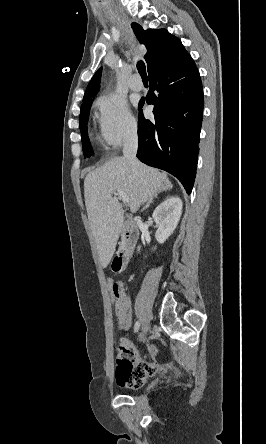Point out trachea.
<instances>
[{"label": "trachea", "instance_id": "obj_1", "mask_svg": "<svg viewBox=\"0 0 266 444\" xmlns=\"http://www.w3.org/2000/svg\"><path fill=\"white\" fill-rule=\"evenodd\" d=\"M137 69L142 79H148L145 63L141 60L137 62Z\"/></svg>", "mask_w": 266, "mask_h": 444}]
</instances>
